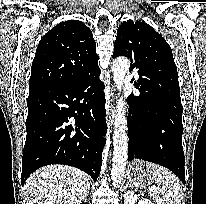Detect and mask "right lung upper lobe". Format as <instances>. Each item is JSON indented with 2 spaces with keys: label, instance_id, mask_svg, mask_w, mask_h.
<instances>
[{
  "label": "right lung upper lobe",
  "instance_id": "cb5924a9",
  "mask_svg": "<svg viewBox=\"0 0 206 204\" xmlns=\"http://www.w3.org/2000/svg\"><path fill=\"white\" fill-rule=\"evenodd\" d=\"M91 30L78 20L59 23L40 40L32 63L29 92L70 83L98 67Z\"/></svg>",
  "mask_w": 206,
  "mask_h": 204
}]
</instances>
